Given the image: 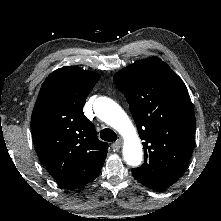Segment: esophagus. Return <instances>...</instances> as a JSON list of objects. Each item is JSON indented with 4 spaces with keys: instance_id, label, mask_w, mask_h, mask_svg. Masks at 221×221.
Wrapping results in <instances>:
<instances>
[{
    "instance_id": "1",
    "label": "esophagus",
    "mask_w": 221,
    "mask_h": 221,
    "mask_svg": "<svg viewBox=\"0 0 221 221\" xmlns=\"http://www.w3.org/2000/svg\"><path fill=\"white\" fill-rule=\"evenodd\" d=\"M121 146H122V141L119 139L112 144V149H113V151H119Z\"/></svg>"
}]
</instances>
